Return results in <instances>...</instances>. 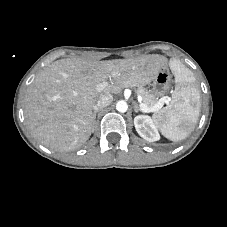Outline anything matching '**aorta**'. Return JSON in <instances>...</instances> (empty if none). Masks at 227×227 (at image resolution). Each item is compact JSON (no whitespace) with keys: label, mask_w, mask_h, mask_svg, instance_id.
<instances>
[{"label":"aorta","mask_w":227,"mask_h":227,"mask_svg":"<svg viewBox=\"0 0 227 227\" xmlns=\"http://www.w3.org/2000/svg\"><path fill=\"white\" fill-rule=\"evenodd\" d=\"M116 109L118 112L124 113L128 109V105L125 101H118L116 104Z\"/></svg>","instance_id":"762f6f07"}]
</instances>
